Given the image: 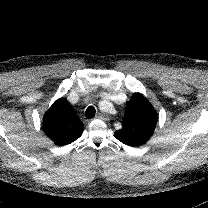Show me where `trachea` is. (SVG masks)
Segmentation results:
<instances>
[{"label": "trachea", "mask_w": 208, "mask_h": 208, "mask_svg": "<svg viewBox=\"0 0 208 208\" xmlns=\"http://www.w3.org/2000/svg\"><path fill=\"white\" fill-rule=\"evenodd\" d=\"M95 113H96V110L93 106H89L87 109H86V112H85V116L87 118H93L95 116Z\"/></svg>", "instance_id": "3493384b"}]
</instances>
